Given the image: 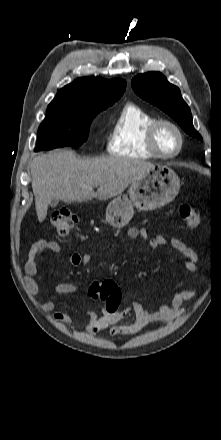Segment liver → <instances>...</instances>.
I'll use <instances>...</instances> for the list:
<instances>
[{"label": "liver", "mask_w": 221, "mask_h": 440, "mask_svg": "<svg viewBox=\"0 0 221 440\" xmlns=\"http://www.w3.org/2000/svg\"><path fill=\"white\" fill-rule=\"evenodd\" d=\"M153 166L147 161L120 157L78 159L72 150L37 156L30 169L38 221L45 220L52 200L65 203L93 198L107 200L121 194ZM94 186H99L96 192Z\"/></svg>", "instance_id": "1"}]
</instances>
